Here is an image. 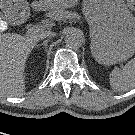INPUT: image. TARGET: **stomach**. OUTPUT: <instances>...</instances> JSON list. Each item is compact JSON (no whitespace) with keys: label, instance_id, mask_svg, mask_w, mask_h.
I'll return each mask as SVG.
<instances>
[{"label":"stomach","instance_id":"obj_1","mask_svg":"<svg viewBox=\"0 0 135 135\" xmlns=\"http://www.w3.org/2000/svg\"><path fill=\"white\" fill-rule=\"evenodd\" d=\"M59 8V0H45ZM19 18L27 16L25 0H6ZM83 14L90 27L91 50L95 59L111 65L126 61L135 53V17L124 0H84Z\"/></svg>","mask_w":135,"mask_h":135}]
</instances>
